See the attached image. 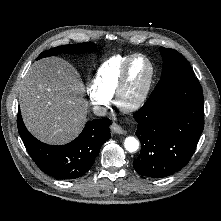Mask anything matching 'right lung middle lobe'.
Returning <instances> with one entry per match:
<instances>
[{
    "instance_id": "1",
    "label": "right lung middle lobe",
    "mask_w": 221,
    "mask_h": 221,
    "mask_svg": "<svg viewBox=\"0 0 221 221\" xmlns=\"http://www.w3.org/2000/svg\"><path fill=\"white\" fill-rule=\"evenodd\" d=\"M95 49V45L92 42H85L80 44H69L58 46L49 50L42 52L39 55V58L48 57L60 53H67V54H83L86 52H92Z\"/></svg>"
}]
</instances>
